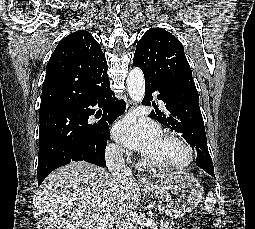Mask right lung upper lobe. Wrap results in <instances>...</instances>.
<instances>
[{"mask_svg":"<svg viewBox=\"0 0 255 229\" xmlns=\"http://www.w3.org/2000/svg\"><path fill=\"white\" fill-rule=\"evenodd\" d=\"M107 75V62L100 45L86 30L61 40L47 67L40 112L85 100Z\"/></svg>","mask_w":255,"mask_h":229,"instance_id":"obj_1","label":"right lung upper lobe"}]
</instances>
